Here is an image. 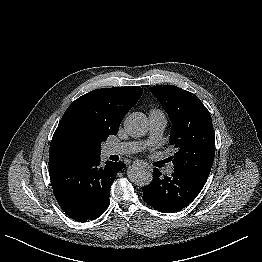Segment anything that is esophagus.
<instances>
[{"label":"esophagus","mask_w":262,"mask_h":262,"mask_svg":"<svg viewBox=\"0 0 262 262\" xmlns=\"http://www.w3.org/2000/svg\"><path fill=\"white\" fill-rule=\"evenodd\" d=\"M134 165H143V167H145L147 170H151V167L149 165L143 163L142 161L134 162Z\"/></svg>","instance_id":"obj_1"}]
</instances>
